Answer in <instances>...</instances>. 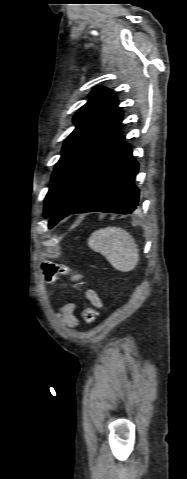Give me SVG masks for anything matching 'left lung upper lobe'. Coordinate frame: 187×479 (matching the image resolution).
<instances>
[{
  "mask_svg": "<svg viewBox=\"0 0 187 479\" xmlns=\"http://www.w3.org/2000/svg\"><path fill=\"white\" fill-rule=\"evenodd\" d=\"M74 116L76 128L67 137L51 178L44 216L52 215L84 171L120 137L122 111L114 94L98 87Z\"/></svg>",
  "mask_w": 187,
  "mask_h": 479,
  "instance_id": "obj_1",
  "label": "left lung upper lobe"
}]
</instances>
